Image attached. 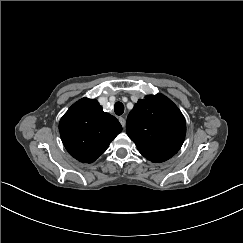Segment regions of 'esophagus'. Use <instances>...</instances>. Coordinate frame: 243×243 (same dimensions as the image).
<instances>
[{"label": "esophagus", "instance_id": "obj_1", "mask_svg": "<svg viewBox=\"0 0 243 243\" xmlns=\"http://www.w3.org/2000/svg\"><path fill=\"white\" fill-rule=\"evenodd\" d=\"M119 122L121 123L122 127H125V119L123 117H119Z\"/></svg>", "mask_w": 243, "mask_h": 243}]
</instances>
